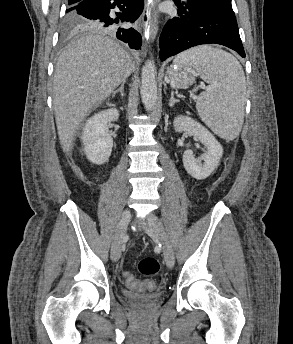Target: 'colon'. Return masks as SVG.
Wrapping results in <instances>:
<instances>
[{"mask_svg": "<svg viewBox=\"0 0 293 344\" xmlns=\"http://www.w3.org/2000/svg\"><path fill=\"white\" fill-rule=\"evenodd\" d=\"M138 270L142 275L153 276L160 270V264L157 259L153 257H147L142 259L138 264ZM125 281L128 286L141 287L142 289L151 290L156 287L154 280L148 279L143 283L137 282L130 273H125Z\"/></svg>", "mask_w": 293, "mask_h": 344, "instance_id": "obj_1", "label": "colon"}]
</instances>
